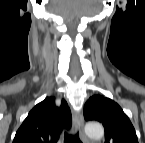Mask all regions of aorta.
Returning a JSON list of instances; mask_svg holds the SVG:
<instances>
[{
    "instance_id": "obj_1",
    "label": "aorta",
    "mask_w": 145,
    "mask_h": 143,
    "mask_svg": "<svg viewBox=\"0 0 145 143\" xmlns=\"http://www.w3.org/2000/svg\"><path fill=\"white\" fill-rule=\"evenodd\" d=\"M85 132L89 137L100 139L104 136V129L97 122H89L85 126Z\"/></svg>"
}]
</instances>
